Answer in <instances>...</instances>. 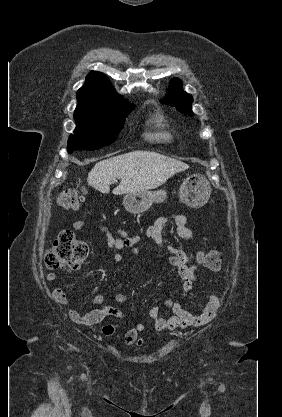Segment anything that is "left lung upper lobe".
<instances>
[{
  "label": "left lung upper lobe",
  "mask_w": 282,
  "mask_h": 417,
  "mask_svg": "<svg viewBox=\"0 0 282 417\" xmlns=\"http://www.w3.org/2000/svg\"><path fill=\"white\" fill-rule=\"evenodd\" d=\"M168 91L166 103L175 106L181 113L192 116L191 103L193 100L190 94L182 90V82L178 79H173L168 87Z\"/></svg>",
  "instance_id": "1"
}]
</instances>
